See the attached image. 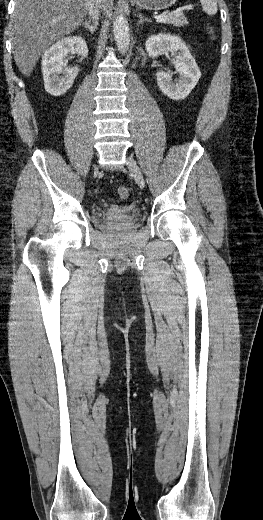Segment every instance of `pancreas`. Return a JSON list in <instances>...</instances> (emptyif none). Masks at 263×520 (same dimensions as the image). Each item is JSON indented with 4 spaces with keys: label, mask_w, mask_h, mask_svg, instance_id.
<instances>
[{
    "label": "pancreas",
    "mask_w": 263,
    "mask_h": 520,
    "mask_svg": "<svg viewBox=\"0 0 263 520\" xmlns=\"http://www.w3.org/2000/svg\"><path fill=\"white\" fill-rule=\"evenodd\" d=\"M161 23L170 24L175 27H182L187 25L188 21L182 11H173L169 13Z\"/></svg>",
    "instance_id": "1"
}]
</instances>
